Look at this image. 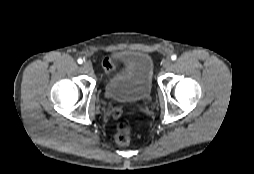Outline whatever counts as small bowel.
Wrapping results in <instances>:
<instances>
[{
	"label": "small bowel",
	"mask_w": 254,
	"mask_h": 174,
	"mask_svg": "<svg viewBox=\"0 0 254 174\" xmlns=\"http://www.w3.org/2000/svg\"><path fill=\"white\" fill-rule=\"evenodd\" d=\"M105 70H106V75L108 77H111L114 74L115 68L110 64L108 60L105 61Z\"/></svg>",
	"instance_id": "1"
}]
</instances>
